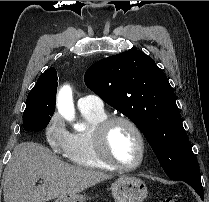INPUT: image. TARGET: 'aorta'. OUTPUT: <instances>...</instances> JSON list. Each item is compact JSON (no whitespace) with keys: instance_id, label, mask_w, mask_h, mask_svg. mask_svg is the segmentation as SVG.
<instances>
[{"instance_id":"1","label":"aorta","mask_w":209,"mask_h":202,"mask_svg":"<svg viewBox=\"0 0 209 202\" xmlns=\"http://www.w3.org/2000/svg\"><path fill=\"white\" fill-rule=\"evenodd\" d=\"M57 106L59 113L67 120L73 121L75 118V112L73 107V96H72V89L70 86L65 85L63 86L57 98ZM74 128L76 130H84L85 125L83 123H75Z\"/></svg>"}]
</instances>
